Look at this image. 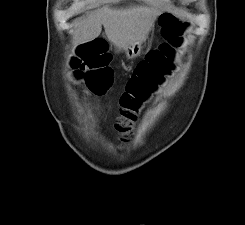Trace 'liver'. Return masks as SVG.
Here are the masks:
<instances>
[{"instance_id":"liver-1","label":"liver","mask_w":245,"mask_h":225,"mask_svg":"<svg viewBox=\"0 0 245 225\" xmlns=\"http://www.w3.org/2000/svg\"><path fill=\"white\" fill-rule=\"evenodd\" d=\"M159 14L156 8L147 6H103L88 13L75 26L73 43L77 46L97 38L103 25L107 38L120 51L145 41Z\"/></svg>"}]
</instances>
